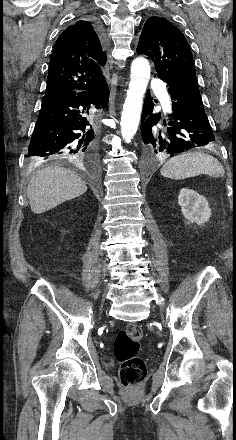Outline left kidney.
Here are the masks:
<instances>
[{
  "instance_id": "5707ae66",
  "label": "left kidney",
  "mask_w": 236,
  "mask_h": 440,
  "mask_svg": "<svg viewBox=\"0 0 236 440\" xmlns=\"http://www.w3.org/2000/svg\"><path fill=\"white\" fill-rule=\"evenodd\" d=\"M178 204L183 216L190 223L203 225L211 217V209L206 198L192 189L182 188L180 190Z\"/></svg>"
}]
</instances>
